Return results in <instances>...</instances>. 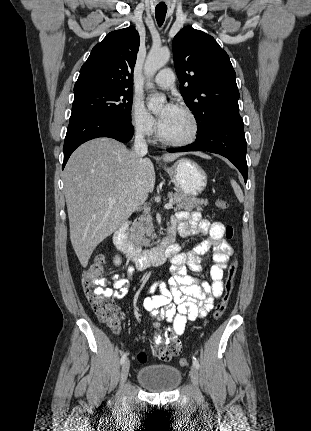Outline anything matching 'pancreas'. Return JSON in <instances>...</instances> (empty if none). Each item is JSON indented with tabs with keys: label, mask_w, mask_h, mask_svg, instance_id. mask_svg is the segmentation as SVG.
Listing matches in <instances>:
<instances>
[{
	"label": "pancreas",
	"mask_w": 311,
	"mask_h": 431,
	"mask_svg": "<svg viewBox=\"0 0 311 431\" xmlns=\"http://www.w3.org/2000/svg\"><path fill=\"white\" fill-rule=\"evenodd\" d=\"M168 198H173L175 204L174 210H185V212H192V210H199L202 212V206H207V200H200V198H190L185 194H179V192H169ZM152 217L151 216H140L138 221H133L130 231L129 239L134 241L137 245H149L150 237H156V233H153Z\"/></svg>",
	"instance_id": "cf45deb5"
}]
</instances>
